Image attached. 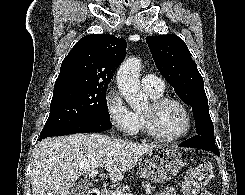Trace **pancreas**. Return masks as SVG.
I'll list each match as a JSON object with an SVG mask.
<instances>
[{"instance_id":"1","label":"pancreas","mask_w":245,"mask_h":195,"mask_svg":"<svg viewBox=\"0 0 245 195\" xmlns=\"http://www.w3.org/2000/svg\"><path fill=\"white\" fill-rule=\"evenodd\" d=\"M142 186L145 188L147 194H150L155 188L151 183H148V182H143ZM113 192L114 193H124L125 192V188H124V186L123 187H118ZM102 195H112V192L111 193L103 192Z\"/></svg>"}]
</instances>
